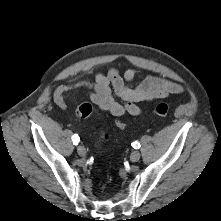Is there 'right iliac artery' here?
<instances>
[{
	"instance_id": "82829eb1",
	"label": "right iliac artery",
	"mask_w": 221,
	"mask_h": 221,
	"mask_svg": "<svg viewBox=\"0 0 221 221\" xmlns=\"http://www.w3.org/2000/svg\"><path fill=\"white\" fill-rule=\"evenodd\" d=\"M79 140H80V138L78 137V135L75 134L72 136V141H73L74 145H77Z\"/></svg>"
}]
</instances>
